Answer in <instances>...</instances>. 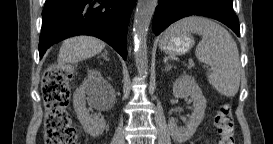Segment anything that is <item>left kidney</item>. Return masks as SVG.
<instances>
[{
    "label": "left kidney",
    "instance_id": "1",
    "mask_svg": "<svg viewBox=\"0 0 273 144\" xmlns=\"http://www.w3.org/2000/svg\"><path fill=\"white\" fill-rule=\"evenodd\" d=\"M173 95L175 98L190 96L193 100V113L185 127L178 128L174 118L169 120V129L172 137L178 142L183 143L189 140L204 118L206 99L202 90L194 78L188 75L179 77L173 85Z\"/></svg>",
    "mask_w": 273,
    "mask_h": 144
}]
</instances>
